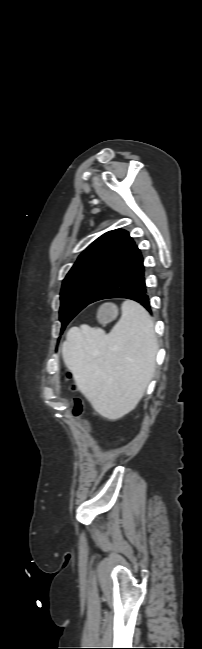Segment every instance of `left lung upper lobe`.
Instances as JSON below:
<instances>
[{
	"label": "left lung upper lobe",
	"instance_id": "1",
	"mask_svg": "<svg viewBox=\"0 0 202 649\" xmlns=\"http://www.w3.org/2000/svg\"><path fill=\"white\" fill-rule=\"evenodd\" d=\"M134 244L127 231L116 229L100 236L82 252L63 280L60 293L61 331L90 303Z\"/></svg>",
	"mask_w": 202,
	"mask_h": 649
}]
</instances>
